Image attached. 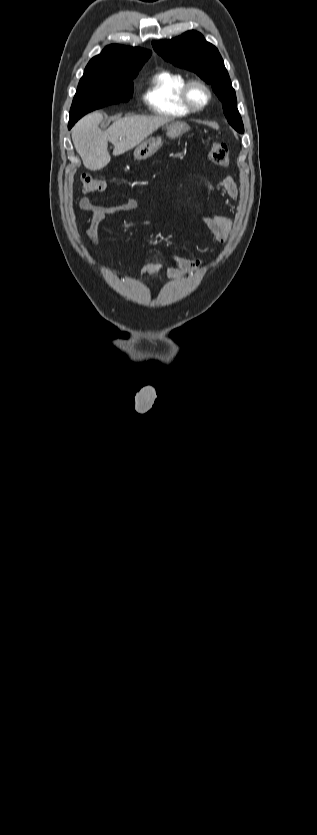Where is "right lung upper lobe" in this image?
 Masks as SVG:
<instances>
[{"mask_svg":"<svg viewBox=\"0 0 317 835\" xmlns=\"http://www.w3.org/2000/svg\"><path fill=\"white\" fill-rule=\"evenodd\" d=\"M150 55L151 51L146 49L112 44L89 61L84 74H104L142 67Z\"/></svg>","mask_w":317,"mask_h":835,"instance_id":"obj_1","label":"right lung upper lobe"}]
</instances>
